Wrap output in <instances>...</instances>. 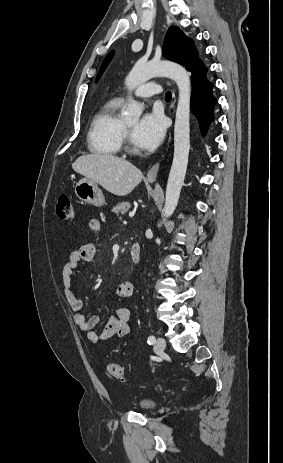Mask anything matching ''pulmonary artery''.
I'll return each mask as SVG.
<instances>
[{"label": "pulmonary artery", "mask_w": 283, "mask_h": 463, "mask_svg": "<svg viewBox=\"0 0 283 463\" xmlns=\"http://www.w3.org/2000/svg\"><path fill=\"white\" fill-rule=\"evenodd\" d=\"M162 92V87L155 83L150 82L138 87L135 91V96L140 98H149L158 95Z\"/></svg>", "instance_id": "1"}]
</instances>
